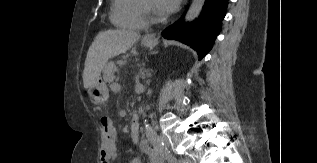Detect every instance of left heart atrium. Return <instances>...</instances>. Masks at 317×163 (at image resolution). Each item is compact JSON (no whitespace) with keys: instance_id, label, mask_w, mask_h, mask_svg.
<instances>
[{"instance_id":"obj_1","label":"left heart atrium","mask_w":317,"mask_h":163,"mask_svg":"<svg viewBox=\"0 0 317 163\" xmlns=\"http://www.w3.org/2000/svg\"><path fill=\"white\" fill-rule=\"evenodd\" d=\"M155 4L162 15H167L177 8L179 0H155Z\"/></svg>"}]
</instances>
